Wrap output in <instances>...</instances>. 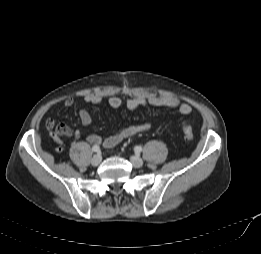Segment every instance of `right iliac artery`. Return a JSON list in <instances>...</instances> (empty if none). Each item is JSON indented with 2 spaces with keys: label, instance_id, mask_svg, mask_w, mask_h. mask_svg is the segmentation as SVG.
I'll list each match as a JSON object with an SVG mask.
<instances>
[{
  "label": "right iliac artery",
  "instance_id": "right-iliac-artery-1",
  "mask_svg": "<svg viewBox=\"0 0 261 254\" xmlns=\"http://www.w3.org/2000/svg\"><path fill=\"white\" fill-rule=\"evenodd\" d=\"M92 150H93L94 152H99V151H100V147H99L98 145H94V146L92 147Z\"/></svg>",
  "mask_w": 261,
  "mask_h": 254
}]
</instances>
